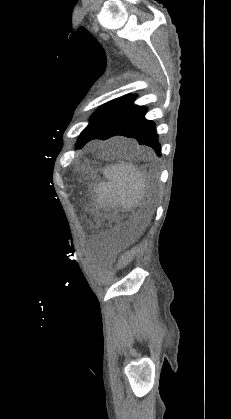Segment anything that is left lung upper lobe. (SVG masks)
I'll return each instance as SVG.
<instances>
[{
  "label": "left lung upper lobe",
  "mask_w": 231,
  "mask_h": 419,
  "mask_svg": "<svg viewBox=\"0 0 231 419\" xmlns=\"http://www.w3.org/2000/svg\"><path fill=\"white\" fill-rule=\"evenodd\" d=\"M131 95H125L121 98L114 99L103 106H101L90 118V122L88 126L81 132L77 146L81 143V141L85 138V136L107 115L109 114L114 108L118 105L122 104L126 101Z\"/></svg>",
  "instance_id": "1"
}]
</instances>
